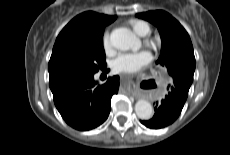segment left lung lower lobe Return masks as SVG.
<instances>
[{"instance_id":"0a47b994","label":"left lung lower lobe","mask_w":230,"mask_h":155,"mask_svg":"<svg viewBox=\"0 0 230 155\" xmlns=\"http://www.w3.org/2000/svg\"><path fill=\"white\" fill-rule=\"evenodd\" d=\"M190 86L191 84L184 80L173 79V83L168 85V94L161 102L156 103L153 118L141 123L152 129H160L172 124L182 111Z\"/></svg>"}]
</instances>
